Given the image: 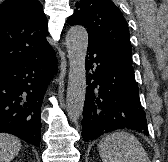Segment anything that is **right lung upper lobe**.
<instances>
[{"mask_svg":"<svg viewBox=\"0 0 168 162\" xmlns=\"http://www.w3.org/2000/svg\"><path fill=\"white\" fill-rule=\"evenodd\" d=\"M46 28L38 0H5L0 4V74L51 52L44 37Z\"/></svg>","mask_w":168,"mask_h":162,"instance_id":"cb5924a9","label":"right lung upper lobe"}]
</instances>
